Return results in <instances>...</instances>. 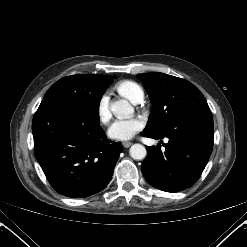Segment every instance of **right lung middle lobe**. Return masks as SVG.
Masks as SVG:
<instances>
[{"mask_svg": "<svg viewBox=\"0 0 247 247\" xmlns=\"http://www.w3.org/2000/svg\"><path fill=\"white\" fill-rule=\"evenodd\" d=\"M113 82L94 75H73L61 78L46 92L42 101L62 100L99 111L106 88Z\"/></svg>", "mask_w": 247, "mask_h": 247, "instance_id": "obj_1", "label": "right lung middle lobe"}]
</instances>
